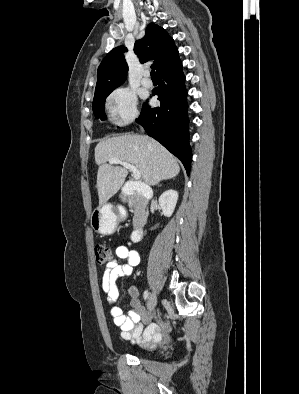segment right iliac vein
Instances as JSON below:
<instances>
[{
	"label": "right iliac vein",
	"instance_id": "63e3f726",
	"mask_svg": "<svg viewBox=\"0 0 299 394\" xmlns=\"http://www.w3.org/2000/svg\"><path fill=\"white\" fill-rule=\"evenodd\" d=\"M156 304H157V296L155 293H152L147 303L148 310L153 311L156 307Z\"/></svg>",
	"mask_w": 299,
	"mask_h": 394
}]
</instances>
